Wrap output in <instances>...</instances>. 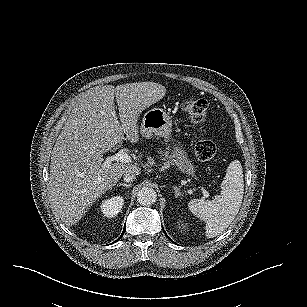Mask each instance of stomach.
<instances>
[{
  "label": "stomach",
  "instance_id": "obj_1",
  "mask_svg": "<svg viewBox=\"0 0 307 307\" xmlns=\"http://www.w3.org/2000/svg\"><path fill=\"white\" fill-rule=\"evenodd\" d=\"M172 120L171 117L161 108H152L145 112L139 126V134L145 140H151L153 137L168 138L171 132ZM176 157V164L178 168L191 175L194 173V167L187 162L180 150L173 152Z\"/></svg>",
  "mask_w": 307,
  "mask_h": 307
}]
</instances>
